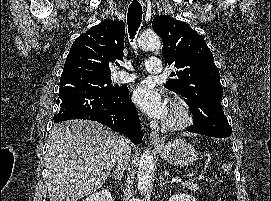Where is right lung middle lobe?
Wrapping results in <instances>:
<instances>
[{"instance_id":"obj_1","label":"right lung middle lobe","mask_w":271,"mask_h":201,"mask_svg":"<svg viewBox=\"0 0 271 201\" xmlns=\"http://www.w3.org/2000/svg\"><path fill=\"white\" fill-rule=\"evenodd\" d=\"M70 85L81 90L115 92L119 87L111 84V75L90 72L83 69L64 71L60 78V88Z\"/></svg>"}]
</instances>
